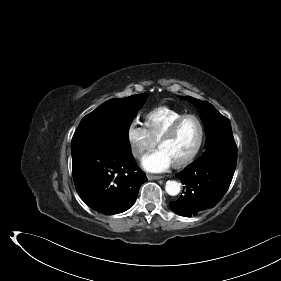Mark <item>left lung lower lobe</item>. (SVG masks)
Instances as JSON below:
<instances>
[{"label":"left lung lower lobe","mask_w":281,"mask_h":281,"mask_svg":"<svg viewBox=\"0 0 281 281\" xmlns=\"http://www.w3.org/2000/svg\"><path fill=\"white\" fill-rule=\"evenodd\" d=\"M236 152L204 153L176 176L183 183V194L170 206L184 217L195 216L221 200L232 181Z\"/></svg>","instance_id":"1"}]
</instances>
